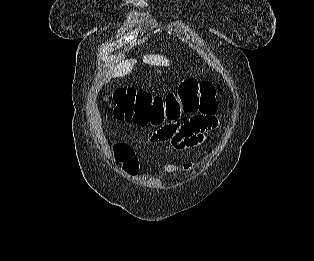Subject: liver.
Instances as JSON below:
<instances>
[{
  "label": "liver",
  "mask_w": 314,
  "mask_h": 261,
  "mask_svg": "<svg viewBox=\"0 0 314 261\" xmlns=\"http://www.w3.org/2000/svg\"><path fill=\"white\" fill-rule=\"evenodd\" d=\"M143 62L153 66H169V60L162 55H145L143 57ZM135 63V59L122 61L115 67L113 76L123 77L129 74L132 71Z\"/></svg>",
  "instance_id": "liver-1"
}]
</instances>
